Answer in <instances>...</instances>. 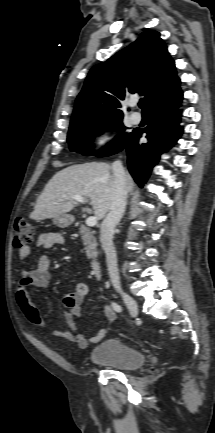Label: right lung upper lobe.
<instances>
[{"mask_svg": "<svg viewBox=\"0 0 215 433\" xmlns=\"http://www.w3.org/2000/svg\"><path fill=\"white\" fill-rule=\"evenodd\" d=\"M179 83L160 34L144 31L130 46L91 69L70 125L123 117L119 100L126 95L139 91L149 105Z\"/></svg>", "mask_w": 215, "mask_h": 433, "instance_id": "right-lung-upper-lobe-1", "label": "right lung upper lobe"}]
</instances>
